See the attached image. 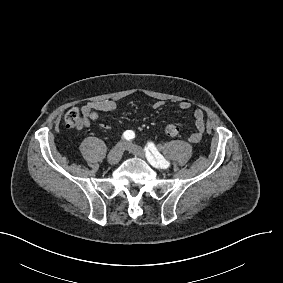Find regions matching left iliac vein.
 Here are the masks:
<instances>
[{"label":"left iliac vein","mask_w":283,"mask_h":283,"mask_svg":"<svg viewBox=\"0 0 283 283\" xmlns=\"http://www.w3.org/2000/svg\"><path fill=\"white\" fill-rule=\"evenodd\" d=\"M124 150L130 151L133 155L138 156L140 158L145 157V151L142 147L137 146L133 143L127 142L124 144ZM157 169H162L159 165H153Z\"/></svg>","instance_id":"1"}]
</instances>
